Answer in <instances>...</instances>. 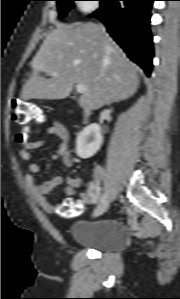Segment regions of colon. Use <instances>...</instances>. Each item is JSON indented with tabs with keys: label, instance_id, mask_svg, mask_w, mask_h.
Masks as SVG:
<instances>
[{
	"label": "colon",
	"instance_id": "obj_1",
	"mask_svg": "<svg viewBox=\"0 0 180 299\" xmlns=\"http://www.w3.org/2000/svg\"><path fill=\"white\" fill-rule=\"evenodd\" d=\"M11 118L20 126V131L16 136V140L21 145H26L30 142V135L33 132V127L44 122L43 111L34 103L13 100L11 104ZM83 212L81 204L74 201H66L59 207V213L74 217Z\"/></svg>",
	"mask_w": 180,
	"mask_h": 299
}]
</instances>
